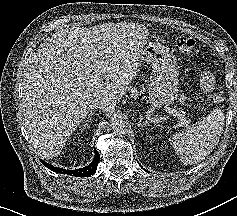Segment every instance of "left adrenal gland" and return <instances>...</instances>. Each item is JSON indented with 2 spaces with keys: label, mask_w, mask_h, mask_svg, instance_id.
<instances>
[{
  "label": "left adrenal gland",
  "mask_w": 237,
  "mask_h": 216,
  "mask_svg": "<svg viewBox=\"0 0 237 216\" xmlns=\"http://www.w3.org/2000/svg\"><path fill=\"white\" fill-rule=\"evenodd\" d=\"M143 119H144L143 115L140 114L139 117L137 118V126L138 127H144L145 126V123L143 122Z\"/></svg>",
  "instance_id": "obj_1"
}]
</instances>
